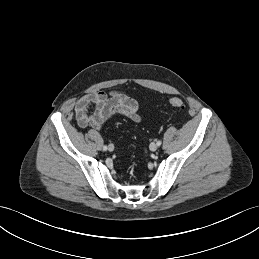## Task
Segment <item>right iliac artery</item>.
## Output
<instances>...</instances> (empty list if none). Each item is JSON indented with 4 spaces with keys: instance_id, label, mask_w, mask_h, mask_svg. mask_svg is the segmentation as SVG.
<instances>
[{
    "instance_id": "82829eb1",
    "label": "right iliac artery",
    "mask_w": 259,
    "mask_h": 259,
    "mask_svg": "<svg viewBox=\"0 0 259 259\" xmlns=\"http://www.w3.org/2000/svg\"><path fill=\"white\" fill-rule=\"evenodd\" d=\"M107 149H108V147H107L106 145H104V146H103V150L106 151Z\"/></svg>"
}]
</instances>
